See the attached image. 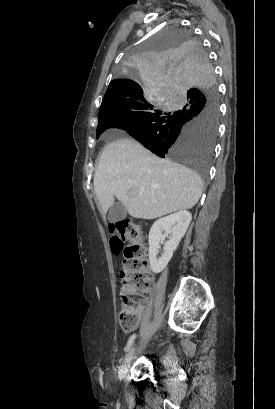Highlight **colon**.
Here are the masks:
<instances>
[{
	"label": "colon",
	"instance_id": "5ec220e1",
	"mask_svg": "<svg viewBox=\"0 0 275 409\" xmlns=\"http://www.w3.org/2000/svg\"><path fill=\"white\" fill-rule=\"evenodd\" d=\"M109 244L113 252L125 250L121 271V313L117 324L122 330H135L141 319L144 294H149L154 286L141 225L133 220L114 223L110 228Z\"/></svg>",
	"mask_w": 275,
	"mask_h": 409
}]
</instances>
